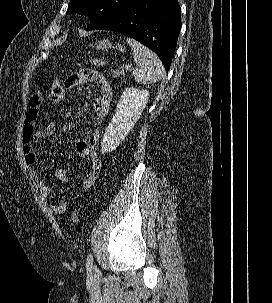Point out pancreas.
<instances>
[{"label": "pancreas", "mask_w": 272, "mask_h": 303, "mask_svg": "<svg viewBox=\"0 0 272 303\" xmlns=\"http://www.w3.org/2000/svg\"><path fill=\"white\" fill-rule=\"evenodd\" d=\"M120 73H121V72H119V71H117V70H114V74H115V75H120Z\"/></svg>", "instance_id": "pancreas-1"}]
</instances>
